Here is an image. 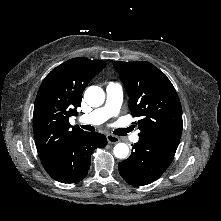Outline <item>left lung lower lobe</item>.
Wrapping results in <instances>:
<instances>
[{"mask_svg":"<svg viewBox=\"0 0 221 221\" xmlns=\"http://www.w3.org/2000/svg\"><path fill=\"white\" fill-rule=\"evenodd\" d=\"M130 157L118 164L121 177L131 185L143 186L154 182L171 164L176 149L140 138Z\"/></svg>","mask_w":221,"mask_h":221,"instance_id":"0a47b994","label":"left lung lower lobe"}]
</instances>
